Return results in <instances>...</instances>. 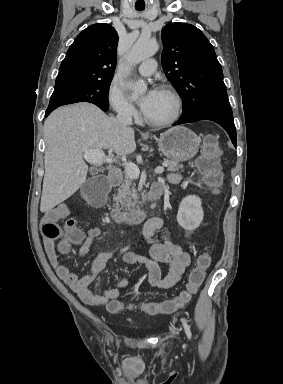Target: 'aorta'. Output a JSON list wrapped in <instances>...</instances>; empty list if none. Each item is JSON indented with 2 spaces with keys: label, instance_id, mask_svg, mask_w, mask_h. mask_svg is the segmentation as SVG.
<instances>
[{
  "label": "aorta",
  "instance_id": "1",
  "mask_svg": "<svg viewBox=\"0 0 283 384\" xmlns=\"http://www.w3.org/2000/svg\"><path fill=\"white\" fill-rule=\"evenodd\" d=\"M158 49L159 45L156 41L140 38L126 54V61L129 66L136 65L153 56ZM128 86L132 90L134 96H138L147 90V86L144 81H131L128 83Z\"/></svg>",
  "mask_w": 283,
  "mask_h": 384
}]
</instances>
